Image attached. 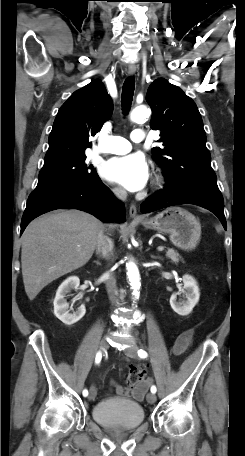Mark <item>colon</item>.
<instances>
[{"label": "colon", "instance_id": "obj_1", "mask_svg": "<svg viewBox=\"0 0 245 456\" xmlns=\"http://www.w3.org/2000/svg\"><path fill=\"white\" fill-rule=\"evenodd\" d=\"M145 372V368L142 366L132 368L127 375V384L137 385L144 378Z\"/></svg>", "mask_w": 245, "mask_h": 456}]
</instances>
